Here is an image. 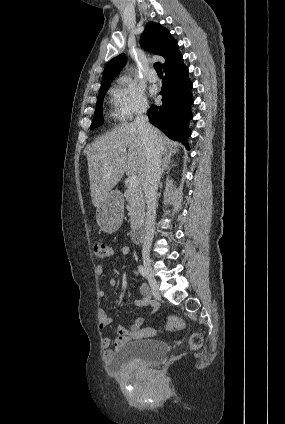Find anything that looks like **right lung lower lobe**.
Listing matches in <instances>:
<instances>
[{"label":"right lung lower lobe","instance_id":"obj_1","mask_svg":"<svg viewBox=\"0 0 285 424\" xmlns=\"http://www.w3.org/2000/svg\"><path fill=\"white\" fill-rule=\"evenodd\" d=\"M165 77L160 91L162 105H153L147 112L150 123L164 132L170 139L187 144L192 119V82L183 58L164 69Z\"/></svg>","mask_w":285,"mask_h":424}]
</instances>
